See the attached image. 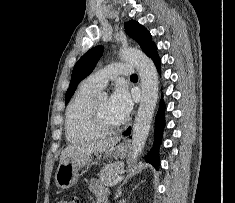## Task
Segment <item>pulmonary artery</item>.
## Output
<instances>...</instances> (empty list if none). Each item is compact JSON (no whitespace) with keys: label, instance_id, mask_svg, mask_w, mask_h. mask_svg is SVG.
<instances>
[{"label":"pulmonary artery","instance_id":"pulmonary-artery-1","mask_svg":"<svg viewBox=\"0 0 235 203\" xmlns=\"http://www.w3.org/2000/svg\"><path fill=\"white\" fill-rule=\"evenodd\" d=\"M132 71V66L129 63H113L93 73L85 81L90 86L101 90L106 86L109 80L114 79L118 75H130Z\"/></svg>","mask_w":235,"mask_h":203}]
</instances>
